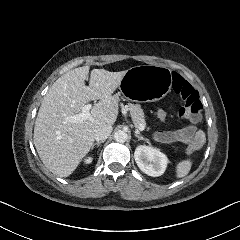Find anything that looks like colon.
Segmentation results:
<instances>
[{
    "instance_id": "1",
    "label": "colon",
    "mask_w": 240,
    "mask_h": 240,
    "mask_svg": "<svg viewBox=\"0 0 240 240\" xmlns=\"http://www.w3.org/2000/svg\"><path fill=\"white\" fill-rule=\"evenodd\" d=\"M179 94L182 101H188V117L193 122H198L200 120V113L203 108L199 93L194 89L191 84L186 82L181 87ZM157 117L159 120H166L167 114L164 111H158ZM195 147H202V132H197V135L193 136V140H190V151L194 152Z\"/></svg>"
}]
</instances>
